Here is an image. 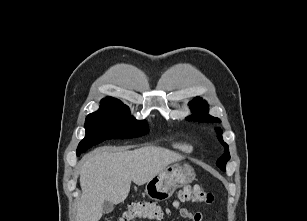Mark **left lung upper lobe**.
I'll return each instance as SVG.
<instances>
[{"label": "left lung upper lobe", "mask_w": 307, "mask_h": 221, "mask_svg": "<svg viewBox=\"0 0 307 221\" xmlns=\"http://www.w3.org/2000/svg\"><path fill=\"white\" fill-rule=\"evenodd\" d=\"M189 107L192 110L193 114L187 117L188 120H195L199 122H220L218 118L208 114V104L200 97L194 98L189 103ZM217 132L221 133L222 131L221 129L217 128ZM218 138L220 142H222L225 150L223 156L217 160L216 164L221 170L226 171L225 165L230 159L229 147L225 142H223L221 135H219Z\"/></svg>", "instance_id": "obj_1"}]
</instances>
